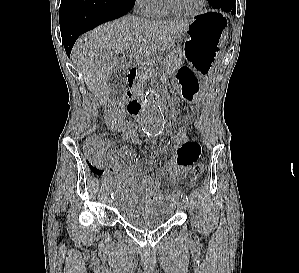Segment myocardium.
<instances>
[{
    "instance_id": "obj_1",
    "label": "myocardium",
    "mask_w": 299,
    "mask_h": 273,
    "mask_svg": "<svg viewBox=\"0 0 299 273\" xmlns=\"http://www.w3.org/2000/svg\"><path fill=\"white\" fill-rule=\"evenodd\" d=\"M206 2L207 0H201L200 4L194 10L185 11L175 6L172 0H164L165 6L171 13L186 16V17H194L198 15L205 8Z\"/></svg>"
}]
</instances>
